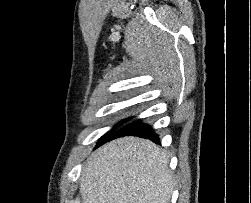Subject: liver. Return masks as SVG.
Returning a JSON list of instances; mask_svg holds the SVG:
<instances>
[{"instance_id": "1", "label": "liver", "mask_w": 251, "mask_h": 203, "mask_svg": "<svg viewBox=\"0 0 251 203\" xmlns=\"http://www.w3.org/2000/svg\"><path fill=\"white\" fill-rule=\"evenodd\" d=\"M168 162L166 153L149 140H113L88 158L81 174L82 202L170 203Z\"/></svg>"}]
</instances>
